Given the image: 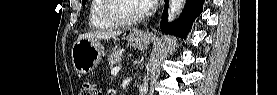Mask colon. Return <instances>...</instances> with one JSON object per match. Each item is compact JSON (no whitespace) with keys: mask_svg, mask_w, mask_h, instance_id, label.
<instances>
[{"mask_svg":"<svg viewBox=\"0 0 277 95\" xmlns=\"http://www.w3.org/2000/svg\"><path fill=\"white\" fill-rule=\"evenodd\" d=\"M79 94L80 95H97L99 93H98L97 87L94 84L85 82V83H83Z\"/></svg>","mask_w":277,"mask_h":95,"instance_id":"colon-1","label":"colon"}]
</instances>
